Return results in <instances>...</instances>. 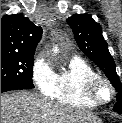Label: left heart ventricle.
Instances as JSON below:
<instances>
[{"instance_id": "obj_1", "label": "left heart ventricle", "mask_w": 122, "mask_h": 123, "mask_svg": "<svg viewBox=\"0 0 122 123\" xmlns=\"http://www.w3.org/2000/svg\"><path fill=\"white\" fill-rule=\"evenodd\" d=\"M98 92L102 99H107L110 95L109 89L105 85H101Z\"/></svg>"}]
</instances>
